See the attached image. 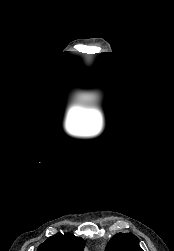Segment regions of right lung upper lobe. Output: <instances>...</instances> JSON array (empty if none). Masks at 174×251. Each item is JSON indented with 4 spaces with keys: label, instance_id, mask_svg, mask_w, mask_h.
Instances as JSON below:
<instances>
[{
    "label": "right lung upper lobe",
    "instance_id": "right-lung-upper-lobe-1",
    "mask_svg": "<svg viewBox=\"0 0 174 251\" xmlns=\"http://www.w3.org/2000/svg\"><path fill=\"white\" fill-rule=\"evenodd\" d=\"M84 241L71 233H57L42 243L37 251H83Z\"/></svg>",
    "mask_w": 174,
    "mask_h": 251
}]
</instances>
